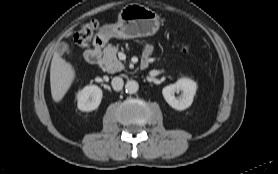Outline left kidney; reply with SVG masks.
<instances>
[{"instance_id":"obj_1","label":"left kidney","mask_w":278,"mask_h":174,"mask_svg":"<svg viewBox=\"0 0 278 174\" xmlns=\"http://www.w3.org/2000/svg\"><path fill=\"white\" fill-rule=\"evenodd\" d=\"M196 83L188 78L179 79L175 84L163 88L162 94L166 102L176 110L189 108L196 93ZM182 92L179 97L175 93Z\"/></svg>"}]
</instances>
